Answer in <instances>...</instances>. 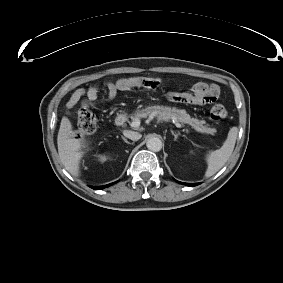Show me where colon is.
Masks as SVG:
<instances>
[{
  "instance_id": "colon-1",
  "label": "colon",
  "mask_w": 283,
  "mask_h": 283,
  "mask_svg": "<svg viewBox=\"0 0 283 283\" xmlns=\"http://www.w3.org/2000/svg\"><path fill=\"white\" fill-rule=\"evenodd\" d=\"M227 111L221 104H215L210 110V117L215 121L226 117ZM98 117L88 106H82L78 111L77 127L72 132L74 140H82L86 135L93 133L97 128Z\"/></svg>"
}]
</instances>
